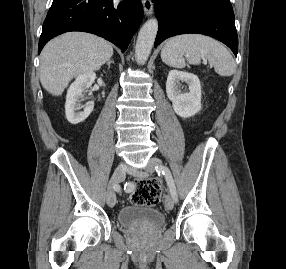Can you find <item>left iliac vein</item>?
<instances>
[{
    "label": "left iliac vein",
    "instance_id": "obj_1",
    "mask_svg": "<svg viewBox=\"0 0 286 269\" xmlns=\"http://www.w3.org/2000/svg\"><path fill=\"white\" fill-rule=\"evenodd\" d=\"M162 165V161L156 157H152L150 160H149V163H148V166L146 168V170L148 172H154L156 170V167L157 166H161ZM129 173L131 175H134V176H137L139 175V172L135 169H131L129 171ZM165 207L168 209V210H172L174 208V199L171 195H167L166 198H165Z\"/></svg>",
    "mask_w": 286,
    "mask_h": 269
}]
</instances>
